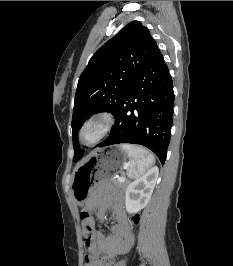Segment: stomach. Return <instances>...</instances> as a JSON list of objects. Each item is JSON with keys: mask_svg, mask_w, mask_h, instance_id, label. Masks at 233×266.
Returning <instances> with one entry per match:
<instances>
[{"mask_svg": "<svg viewBox=\"0 0 233 266\" xmlns=\"http://www.w3.org/2000/svg\"><path fill=\"white\" fill-rule=\"evenodd\" d=\"M128 158V154L120 145L96 147V152H90L88 159L74 171L71 192L77 203H85L93 185H101V180H113V176L123 172Z\"/></svg>", "mask_w": 233, "mask_h": 266, "instance_id": "0dacf381", "label": "stomach"}]
</instances>
